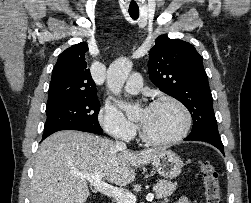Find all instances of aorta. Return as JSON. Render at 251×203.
I'll list each match as a JSON object with an SVG mask.
<instances>
[{
	"label": "aorta",
	"instance_id": "aorta-1",
	"mask_svg": "<svg viewBox=\"0 0 251 203\" xmlns=\"http://www.w3.org/2000/svg\"><path fill=\"white\" fill-rule=\"evenodd\" d=\"M132 69V62L126 59L114 61L107 70V86L110 91L120 96L121 90ZM118 106L125 112L128 118L134 117L138 113V107L118 102Z\"/></svg>",
	"mask_w": 251,
	"mask_h": 203
}]
</instances>
